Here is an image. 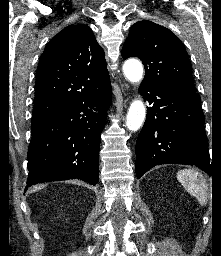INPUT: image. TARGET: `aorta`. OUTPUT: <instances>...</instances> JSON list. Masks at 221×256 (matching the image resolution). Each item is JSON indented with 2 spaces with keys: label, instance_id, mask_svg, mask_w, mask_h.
Masks as SVG:
<instances>
[{
  "label": "aorta",
  "instance_id": "aorta-1",
  "mask_svg": "<svg viewBox=\"0 0 221 256\" xmlns=\"http://www.w3.org/2000/svg\"><path fill=\"white\" fill-rule=\"evenodd\" d=\"M125 77L132 83H138L143 77V67L138 60H128L123 65ZM146 110L140 99L134 100L128 110L126 126L130 131H137L143 124Z\"/></svg>",
  "mask_w": 221,
  "mask_h": 256
}]
</instances>
